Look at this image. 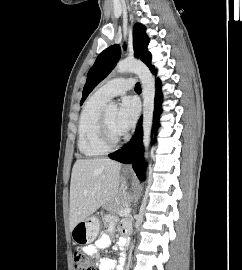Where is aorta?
<instances>
[{
  "label": "aorta",
  "mask_w": 242,
  "mask_h": 270,
  "mask_svg": "<svg viewBox=\"0 0 242 270\" xmlns=\"http://www.w3.org/2000/svg\"><path fill=\"white\" fill-rule=\"evenodd\" d=\"M116 71L118 73H135L141 81L143 95V145L145 149L144 157L147 159L154 112V78L148 67L141 61L135 59H124L119 61L116 65ZM106 110L115 112L117 111V106L114 102H111L106 106Z\"/></svg>",
  "instance_id": "1"
}]
</instances>
